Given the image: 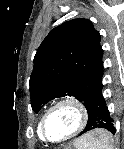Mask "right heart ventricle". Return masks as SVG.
<instances>
[{
	"mask_svg": "<svg viewBox=\"0 0 124 149\" xmlns=\"http://www.w3.org/2000/svg\"><path fill=\"white\" fill-rule=\"evenodd\" d=\"M38 135H39L40 139H42L41 134H40V132H39V131H38Z\"/></svg>",
	"mask_w": 124,
	"mask_h": 149,
	"instance_id": "1",
	"label": "right heart ventricle"
}]
</instances>
